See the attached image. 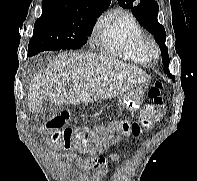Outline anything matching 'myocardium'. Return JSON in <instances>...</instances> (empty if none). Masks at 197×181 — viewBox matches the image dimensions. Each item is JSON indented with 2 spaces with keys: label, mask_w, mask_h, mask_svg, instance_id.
<instances>
[{
  "label": "myocardium",
  "mask_w": 197,
  "mask_h": 181,
  "mask_svg": "<svg viewBox=\"0 0 197 181\" xmlns=\"http://www.w3.org/2000/svg\"><path fill=\"white\" fill-rule=\"evenodd\" d=\"M142 51L148 61H154L159 57V48L151 39L145 38L143 40Z\"/></svg>",
  "instance_id": "f54148a6"
}]
</instances>
